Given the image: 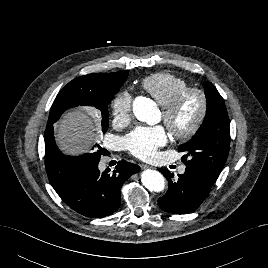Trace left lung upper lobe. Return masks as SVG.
I'll list each match as a JSON object with an SVG mask.
<instances>
[{
    "instance_id": "1",
    "label": "left lung upper lobe",
    "mask_w": 268,
    "mask_h": 268,
    "mask_svg": "<svg viewBox=\"0 0 268 268\" xmlns=\"http://www.w3.org/2000/svg\"><path fill=\"white\" fill-rule=\"evenodd\" d=\"M205 95V119L192 139L178 150L185 152L181 160L186 166L202 169L217 179L228 157L230 121L223 98L210 82L206 83Z\"/></svg>"
}]
</instances>
